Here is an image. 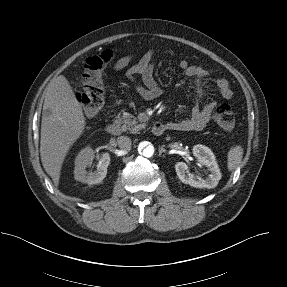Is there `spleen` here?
I'll use <instances>...</instances> for the list:
<instances>
[{
    "instance_id": "spleen-1",
    "label": "spleen",
    "mask_w": 287,
    "mask_h": 287,
    "mask_svg": "<svg viewBox=\"0 0 287 287\" xmlns=\"http://www.w3.org/2000/svg\"><path fill=\"white\" fill-rule=\"evenodd\" d=\"M243 157V148L239 145L232 147L228 152L227 167L229 171H234L241 163Z\"/></svg>"
}]
</instances>
